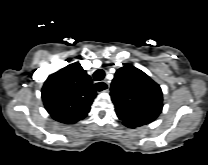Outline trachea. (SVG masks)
<instances>
[{
    "instance_id": "trachea-1",
    "label": "trachea",
    "mask_w": 208,
    "mask_h": 165,
    "mask_svg": "<svg viewBox=\"0 0 208 165\" xmlns=\"http://www.w3.org/2000/svg\"><path fill=\"white\" fill-rule=\"evenodd\" d=\"M93 77H94V80H96V81L102 80V79L105 77V72H104V70H102V69L96 70V71L94 72V74H93ZM95 88H96V90H98V91H102V90L105 89V87H103V86L100 85V84H96V85H95Z\"/></svg>"
}]
</instances>
